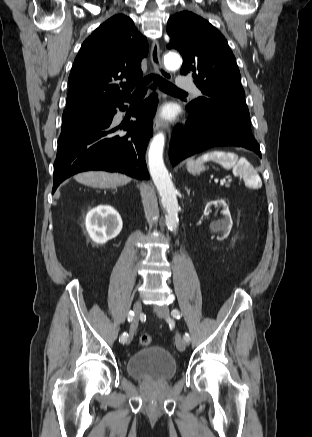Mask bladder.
Returning a JSON list of instances; mask_svg holds the SVG:
<instances>
[{
	"label": "bladder",
	"mask_w": 312,
	"mask_h": 437,
	"mask_svg": "<svg viewBox=\"0 0 312 437\" xmlns=\"http://www.w3.org/2000/svg\"><path fill=\"white\" fill-rule=\"evenodd\" d=\"M130 377L142 381L166 382L177 373L174 357L162 346L154 345L134 352L126 363Z\"/></svg>",
	"instance_id": "1"
}]
</instances>
